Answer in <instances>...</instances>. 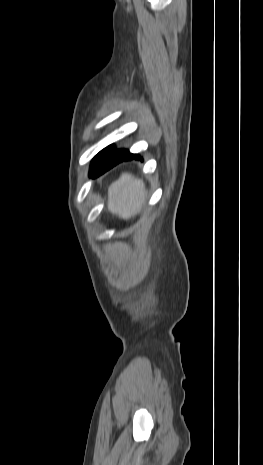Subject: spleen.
<instances>
[{
    "label": "spleen",
    "instance_id": "spleen-1",
    "mask_svg": "<svg viewBox=\"0 0 263 465\" xmlns=\"http://www.w3.org/2000/svg\"><path fill=\"white\" fill-rule=\"evenodd\" d=\"M109 211L120 218L128 219L141 208L145 199V186L141 180L129 173L121 177L109 187Z\"/></svg>",
    "mask_w": 263,
    "mask_h": 465
}]
</instances>
